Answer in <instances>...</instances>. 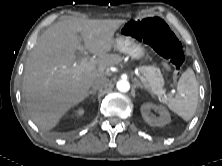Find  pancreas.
Instances as JSON below:
<instances>
[{
  "mask_svg": "<svg viewBox=\"0 0 222 166\" xmlns=\"http://www.w3.org/2000/svg\"><path fill=\"white\" fill-rule=\"evenodd\" d=\"M140 71L146 79V86L152 94L162 97L165 100L164 94V79L160 73V69L155 66H142Z\"/></svg>",
  "mask_w": 222,
  "mask_h": 166,
  "instance_id": "pancreas-1",
  "label": "pancreas"
}]
</instances>
